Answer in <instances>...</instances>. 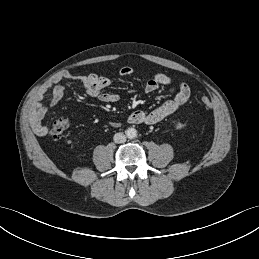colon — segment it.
Here are the masks:
<instances>
[{"label": "colon", "instance_id": "obj_1", "mask_svg": "<svg viewBox=\"0 0 259 259\" xmlns=\"http://www.w3.org/2000/svg\"><path fill=\"white\" fill-rule=\"evenodd\" d=\"M201 104L206 110H210L212 108L211 102L206 97L201 98ZM68 126L69 122L67 119H59L53 123L50 128L49 134L53 139L56 140L65 139Z\"/></svg>", "mask_w": 259, "mask_h": 259}]
</instances>
